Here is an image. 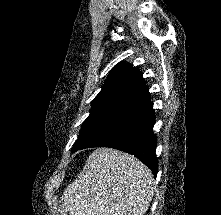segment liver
<instances>
[{
  "mask_svg": "<svg viewBox=\"0 0 221 215\" xmlns=\"http://www.w3.org/2000/svg\"><path fill=\"white\" fill-rule=\"evenodd\" d=\"M154 193L151 171L134 156L97 148L60 203L70 215H144Z\"/></svg>",
  "mask_w": 221,
  "mask_h": 215,
  "instance_id": "6515ba94",
  "label": "liver"
}]
</instances>
